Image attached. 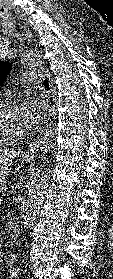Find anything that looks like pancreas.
I'll return each mask as SVG.
<instances>
[{
	"mask_svg": "<svg viewBox=\"0 0 113 279\" xmlns=\"http://www.w3.org/2000/svg\"><path fill=\"white\" fill-rule=\"evenodd\" d=\"M7 182H8L7 179H3L1 181V186H0V193L1 194H5V192L7 191V186H6Z\"/></svg>",
	"mask_w": 113,
	"mask_h": 279,
	"instance_id": "pancreas-1",
	"label": "pancreas"
}]
</instances>
